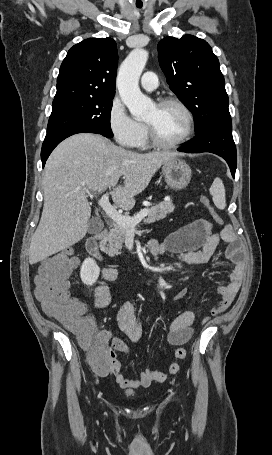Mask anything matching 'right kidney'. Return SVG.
Segmentation results:
<instances>
[{
    "label": "right kidney",
    "instance_id": "ca27d5eb",
    "mask_svg": "<svg viewBox=\"0 0 272 455\" xmlns=\"http://www.w3.org/2000/svg\"><path fill=\"white\" fill-rule=\"evenodd\" d=\"M100 274V268L96 264V262L92 258H87L84 260L81 270H80V277L84 284L86 285H93Z\"/></svg>",
    "mask_w": 272,
    "mask_h": 455
}]
</instances>
